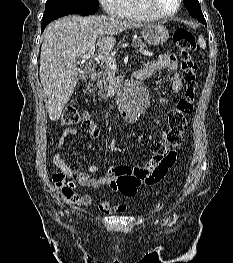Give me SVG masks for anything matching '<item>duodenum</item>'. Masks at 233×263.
<instances>
[{
	"label": "duodenum",
	"mask_w": 233,
	"mask_h": 263,
	"mask_svg": "<svg viewBox=\"0 0 233 263\" xmlns=\"http://www.w3.org/2000/svg\"><path fill=\"white\" fill-rule=\"evenodd\" d=\"M94 76H95V70L90 68L84 71L82 78L85 81H90L94 78ZM126 77H128V74L115 75V78H108L107 80H105L104 81L105 85L99 86V89L101 90H97V93H100L97 94V97L106 98L107 94H111L112 92H117L118 90H120L122 87V83L129 82V79ZM147 77H148L147 74L143 70H139L133 75V78L137 80H143Z\"/></svg>",
	"instance_id": "410a0bca"
}]
</instances>
